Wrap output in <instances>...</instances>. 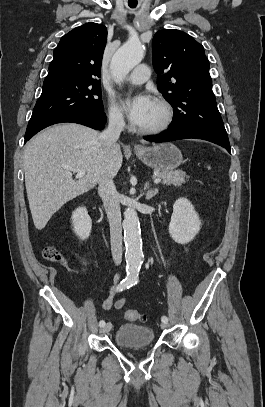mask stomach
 I'll return each instance as SVG.
<instances>
[{"mask_svg": "<svg viewBox=\"0 0 265 407\" xmlns=\"http://www.w3.org/2000/svg\"><path fill=\"white\" fill-rule=\"evenodd\" d=\"M135 154L148 167L161 171H172L183 160L181 151L171 143L143 147L141 150H135Z\"/></svg>", "mask_w": 265, "mask_h": 407, "instance_id": "0dacf381", "label": "stomach"}]
</instances>
